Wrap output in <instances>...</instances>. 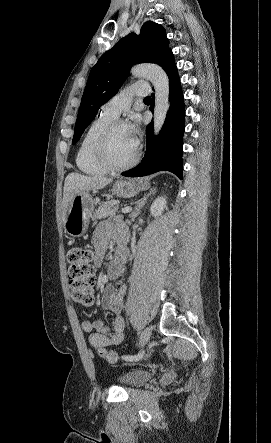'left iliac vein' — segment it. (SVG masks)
<instances>
[{"mask_svg": "<svg viewBox=\"0 0 271 443\" xmlns=\"http://www.w3.org/2000/svg\"><path fill=\"white\" fill-rule=\"evenodd\" d=\"M151 336V330L149 327L145 328L141 334L140 343L142 346L146 345Z\"/></svg>", "mask_w": 271, "mask_h": 443, "instance_id": "4c4485c4", "label": "left iliac vein"}]
</instances>
